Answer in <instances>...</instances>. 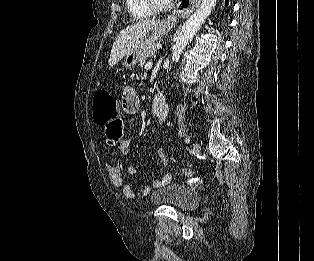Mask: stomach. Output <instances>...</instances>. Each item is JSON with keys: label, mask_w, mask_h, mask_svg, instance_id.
Masks as SVG:
<instances>
[{"label": "stomach", "mask_w": 314, "mask_h": 261, "mask_svg": "<svg viewBox=\"0 0 314 261\" xmlns=\"http://www.w3.org/2000/svg\"><path fill=\"white\" fill-rule=\"evenodd\" d=\"M167 22L160 23L156 28L148 34L140 44L135 47L129 54L125 56L124 65L127 69L133 68L139 58L143 55L145 51L155 45L168 31Z\"/></svg>", "instance_id": "stomach-1"}]
</instances>
